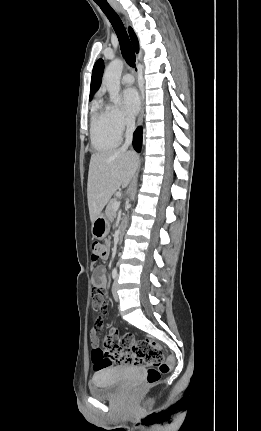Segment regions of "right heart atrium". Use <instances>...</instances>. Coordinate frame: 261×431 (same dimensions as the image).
I'll return each instance as SVG.
<instances>
[{
    "label": "right heart atrium",
    "mask_w": 261,
    "mask_h": 431,
    "mask_svg": "<svg viewBox=\"0 0 261 431\" xmlns=\"http://www.w3.org/2000/svg\"><path fill=\"white\" fill-rule=\"evenodd\" d=\"M106 112L111 128L118 134H122L132 126V121L117 106H107Z\"/></svg>",
    "instance_id": "d8ad5b80"
}]
</instances>
